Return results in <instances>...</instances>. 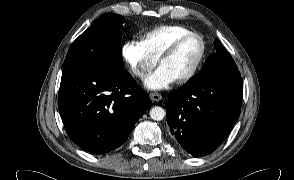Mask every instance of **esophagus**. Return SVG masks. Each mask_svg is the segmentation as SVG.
Wrapping results in <instances>:
<instances>
[{
	"label": "esophagus",
	"instance_id": "esophagus-1",
	"mask_svg": "<svg viewBox=\"0 0 294 180\" xmlns=\"http://www.w3.org/2000/svg\"><path fill=\"white\" fill-rule=\"evenodd\" d=\"M149 96H150V99H151L152 101H154V102H158V101H160V100L162 99L161 94L156 93V92H154V93H150Z\"/></svg>",
	"mask_w": 294,
	"mask_h": 180
}]
</instances>
